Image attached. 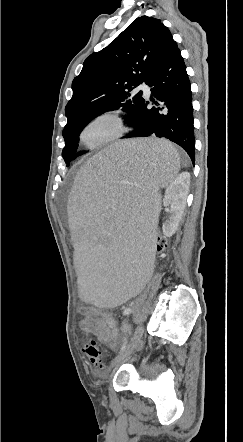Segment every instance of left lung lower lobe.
Segmentation results:
<instances>
[{
    "mask_svg": "<svg viewBox=\"0 0 243 442\" xmlns=\"http://www.w3.org/2000/svg\"><path fill=\"white\" fill-rule=\"evenodd\" d=\"M144 82L151 87L154 107L143 99L137 113L127 122L134 128L123 138H167L180 145L194 163L195 137L191 84L180 50L170 34L149 69Z\"/></svg>",
    "mask_w": 243,
    "mask_h": 442,
    "instance_id": "obj_1",
    "label": "left lung lower lobe"
}]
</instances>
